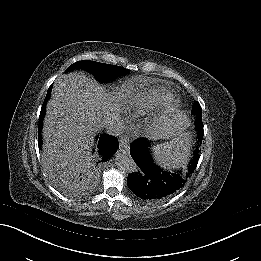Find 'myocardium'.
Returning <instances> with one entry per match:
<instances>
[{
    "instance_id": "f54148a6",
    "label": "myocardium",
    "mask_w": 261,
    "mask_h": 261,
    "mask_svg": "<svg viewBox=\"0 0 261 261\" xmlns=\"http://www.w3.org/2000/svg\"><path fill=\"white\" fill-rule=\"evenodd\" d=\"M181 107L179 99L173 96L158 112L150 115L144 125V129L148 135H157L162 133L170 122L177 116Z\"/></svg>"
}]
</instances>
